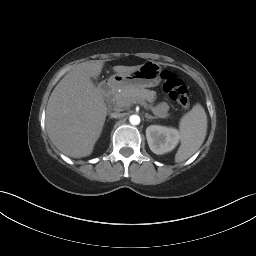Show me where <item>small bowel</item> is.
<instances>
[{"label":"small bowel","instance_id":"obj_1","mask_svg":"<svg viewBox=\"0 0 256 256\" xmlns=\"http://www.w3.org/2000/svg\"><path fill=\"white\" fill-rule=\"evenodd\" d=\"M168 105L166 103H160L157 107H156V112L158 115L160 116H167L168 115Z\"/></svg>","mask_w":256,"mask_h":256}]
</instances>
